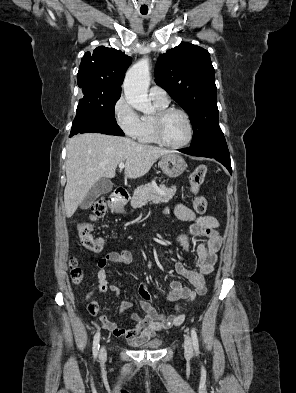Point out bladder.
Masks as SVG:
<instances>
[{"instance_id":"obj_1","label":"bladder","mask_w":296,"mask_h":393,"mask_svg":"<svg viewBox=\"0 0 296 393\" xmlns=\"http://www.w3.org/2000/svg\"><path fill=\"white\" fill-rule=\"evenodd\" d=\"M163 344L161 339H154L143 344L142 347L146 349H158Z\"/></svg>"}]
</instances>
